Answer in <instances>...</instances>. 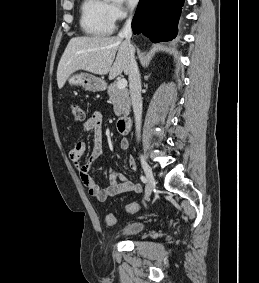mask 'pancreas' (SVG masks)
<instances>
[{
    "instance_id": "cf45deb5",
    "label": "pancreas",
    "mask_w": 259,
    "mask_h": 283,
    "mask_svg": "<svg viewBox=\"0 0 259 283\" xmlns=\"http://www.w3.org/2000/svg\"><path fill=\"white\" fill-rule=\"evenodd\" d=\"M107 93L113 104L114 113L116 116L129 113L131 103L129 92L126 88L120 89L117 87V84L112 83L109 85Z\"/></svg>"
}]
</instances>
